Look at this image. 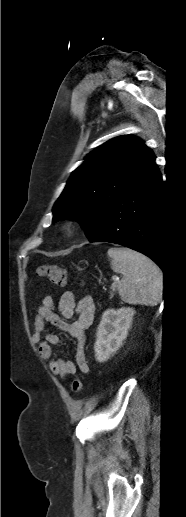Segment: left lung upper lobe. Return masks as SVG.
I'll return each mask as SVG.
<instances>
[{
  "mask_svg": "<svg viewBox=\"0 0 186 517\" xmlns=\"http://www.w3.org/2000/svg\"><path fill=\"white\" fill-rule=\"evenodd\" d=\"M154 160L153 152L136 137L107 141L72 172L53 207V222L75 218L91 241L107 213Z\"/></svg>",
  "mask_w": 186,
  "mask_h": 517,
  "instance_id": "1",
  "label": "left lung upper lobe"
}]
</instances>
